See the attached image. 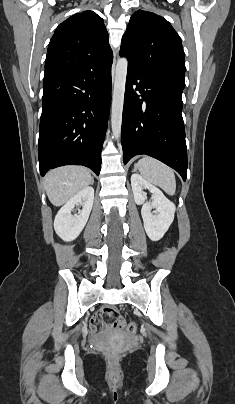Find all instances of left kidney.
<instances>
[{
	"label": "left kidney",
	"mask_w": 235,
	"mask_h": 404,
	"mask_svg": "<svg viewBox=\"0 0 235 404\" xmlns=\"http://www.w3.org/2000/svg\"><path fill=\"white\" fill-rule=\"evenodd\" d=\"M131 186L135 203L143 204L141 215L144 228L152 241L160 240L174 220L175 205L165 197L160 189L149 183L141 175L134 173L131 176ZM143 189L152 193V202H148ZM152 209H155L152 212Z\"/></svg>",
	"instance_id": "left-kidney-1"
}]
</instances>
